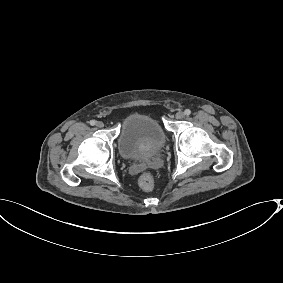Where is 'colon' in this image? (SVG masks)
I'll return each instance as SVG.
<instances>
[{"instance_id":"colon-1","label":"colon","mask_w":283,"mask_h":283,"mask_svg":"<svg viewBox=\"0 0 283 283\" xmlns=\"http://www.w3.org/2000/svg\"><path fill=\"white\" fill-rule=\"evenodd\" d=\"M139 185L146 191L153 190L155 186L153 176L149 172L141 174V176L139 177Z\"/></svg>"}]
</instances>
